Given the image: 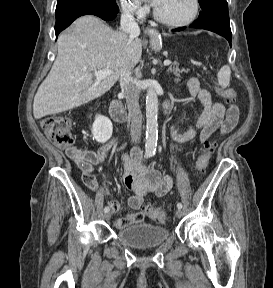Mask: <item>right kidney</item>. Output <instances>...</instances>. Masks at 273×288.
Returning <instances> with one entry per match:
<instances>
[{
    "mask_svg": "<svg viewBox=\"0 0 273 288\" xmlns=\"http://www.w3.org/2000/svg\"><path fill=\"white\" fill-rule=\"evenodd\" d=\"M113 132V125L109 118L97 115L92 126V134L98 143L108 141Z\"/></svg>",
    "mask_w": 273,
    "mask_h": 288,
    "instance_id": "obj_1",
    "label": "right kidney"
}]
</instances>
